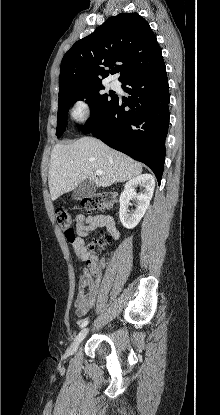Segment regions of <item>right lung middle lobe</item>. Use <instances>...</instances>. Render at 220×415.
Instances as JSON below:
<instances>
[{
  "instance_id": "dd1d6c3e",
  "label": "right lung middle lobe",
  "mask_w": 220,
  "mask_h": 415,
  "mask_svg": "<svg viewBox=\"0 0 220 415\" xmlns=\"http://www.w3.org/2000/svg\"><path fill=\"white\" fill-rule=\"evenodd\" d=\"M104 87L101 84L79 85L59 94L58 99V118L56 135L60 137L67 125V113L71 104L86 99L91 109V116L82 130L92 131L99 127L107 118L116 95L113 93L101 94Z\"/></svg>"
}]
</instances>
